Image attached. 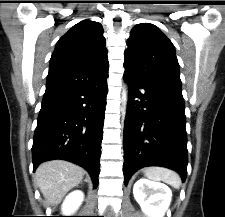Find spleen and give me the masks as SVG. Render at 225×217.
<instances>
[{"label":"spleen","mask_w":225,"mask_h":217,"mask_svg":"<svg viewBox=\"0 0 225 217\" xmlns=\"http://www.w3.org/2000/svg\"><path fill=\"white\" fill-rule=\"evenodd\" d=\"M144 174L147 178L154 180V181H163L174 188H179L181 185L180 176L164 167L159 166H152L144 169Z\"/></svg>","instance_id":"obj_1"}]
</instances>
